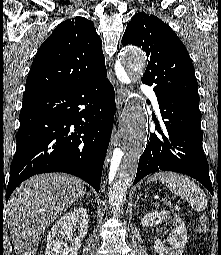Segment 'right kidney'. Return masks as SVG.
Listing matches in <instances>:
<instances>
[{
	"instance_id": "ca27d5eb",
	"label": "right kidney",
	"mask_w": 221,
	"mask_h": 255,
	"mask_svg": "<svg viewBox=\"0 0 221 255\" xmlns=\"http://www.w3.org/2000/svg\"><path fill=\"white\" fill-rule=\"evenodd\" d=\"M79 226V236L72 239L74 227ZM88 231V212L85 208H75L64 214L51 228L47 235V248L45 255H78L81 239ZM65 240L72 245L67 246Z\"/></svg>"
}]
</instances>
